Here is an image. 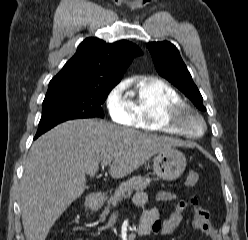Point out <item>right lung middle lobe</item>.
I'll use <instances>...</instances> for the list:
<instances>
[{
	"instance_id": "right-lung-middle-lobe-1",
	"label": "right lung middle lobe",
	"mask_w": 248,
	"mask_h": 240,
	"mask_svg": "<svg viewBox=\"0 0 248 240\" xmlns=\"http://www.w3.org/2000/svg\"><path fill=\"white\" fill-rule=\"evenodd\" d=\"M111 89L62 88L47 91L39 126L58 124L71 119L103 118L101 104Z\"/></svg>"
}]
</instances>
